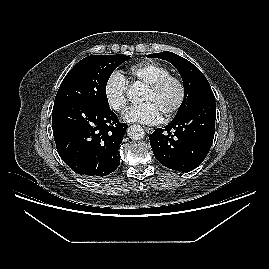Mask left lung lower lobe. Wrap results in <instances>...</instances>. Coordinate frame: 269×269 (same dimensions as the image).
I'll return each mask as SVG.
<instances>
[{
	"label": "left lung lower lobe",
	"mask_w": 269,
	"mask_h": 269,
	"mask_svg": "<svg viewBox=\"0 0 269 269\" xmlns=\"http://www.w3.org/2000/svg\"><path fill=\"white\" fill-rule=\"evenodd\" d=\"M215 101H204L150 135L156 159L169 169L187 172L207 156L215 132Z\"/></svg>",
	"instance_id": "left-lung-lower-lobe-1"
}]
</instances>
